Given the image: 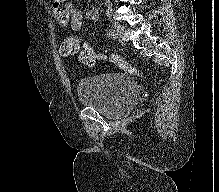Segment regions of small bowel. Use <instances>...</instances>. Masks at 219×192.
Segmentation results:
<instances>
[{
    "label": "small bowel",
    "instance_id": "c3829d8e",
    "mask_svg": "<svg viewBox=\"0 0 219 192\" xmlns=\"http://www.w3.org/2000/svg\"><path fill=\"white\" fill-rule=\"evenodd\" d=\"M52 11L57 22L61 25L69 24L74 32H78L82 28L85 18L97 21L100 13L99 8L96 7L84 13L81 10H77L72 1L67 0H52ZM75 38L79 47V37L75 36Z\"/></svg>",
    "mask_w": 219,
    "mask_h": 192
}]
</instances>
